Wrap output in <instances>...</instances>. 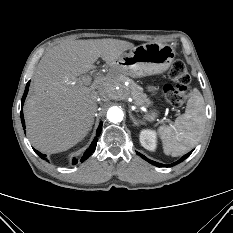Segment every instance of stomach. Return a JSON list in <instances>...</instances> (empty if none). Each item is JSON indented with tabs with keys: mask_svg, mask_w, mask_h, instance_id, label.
<instances>
[{
	"mask_svg": "<svg viewBox=\"0 0 233 233\" xmlns=\"http://www.w3.org/2000/svg\"><path fill=\"white\" fill-rule=\"evenodd\" d=\"M175 55V49L171 45L146 43L133 47L128 53H123L112 67L131 77L160 74L170 67ZM155 117V112L147 115L149 120Z\"/></svg>",
	"mask_w": 233,
	"mask_h": 233,
	"instance_id": "obj_1",
	"label": "stomach"
}]
</instances>
